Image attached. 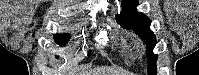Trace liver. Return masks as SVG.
Returning <instances> with one entry per match:
<instances>
[{
  "label": "liver",
  "mask_w": 199,
  "mask_h": 75,
  "mask_svg": "<svg viewBox=\"0 0 199 75\" xmlns=\"http://www.w3.org/2000/svg\"><path fill=\"white\" fill-rule=\"evenodd\" d=\"M81 75H126V74L125 72L114 68L102 67L94 71L83 72V74Z\"/></svg>",
  "instance_id": "1"
}]
</instances>
